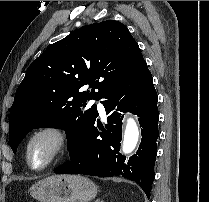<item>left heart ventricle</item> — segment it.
Masks as SVG:
<instances>
[{
    "label": "left heart ventricle",
    "instance_id": "1",
    "mask_svg": "<svg viewBox=\"0 0 209 202\" xmlns=\"http://www.w3.org/2000/svg\"><path fill=\"white\" fill-rule=\"evenodd\" d=\"M52 142L48 137H41L33 142L31 146L32 161L36 166H40L48 159Z\"/></svg>",
    "mask_w": 209,
    "mask_h": 202
}]
</instances>
